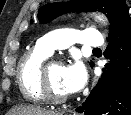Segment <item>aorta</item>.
<instances>
[{"label": "aorta", "mask_w": 131, "mask_h": 115, "mask_svg": "<svg viewBox=\"0 0 131 115\" xmlns=\"http://www.w3.org/2000/svg\"><path fill=\"white\" fill-rule=\"evenodd\" d=\"M98 20H100V21H102V22H104V20H103V18L102 17H98Z\"/></svg>", "instance_id": "1"}]
</instances>
